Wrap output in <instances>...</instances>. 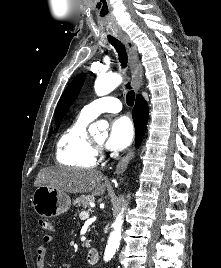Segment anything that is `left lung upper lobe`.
I'll list each match as a JSON object with an SVG mask.
<instances>
[{
  "mask_svg": "<svg viewBox=\"0 0 221 268\" xmlns=\"http://www.w3.org/2000/svg\"><path fill=\"white\" fill-rule=\"evenodd\" d=\"M84 80H85V74L84 73L79 74L78 76L75 77V79L63 92L55 111L57 128L59 127L63 116L66 114L69 107L73 104V102L77 98L78 93L84 83Z\"/></svg>",
  "mask_w": 221,
  "mask_h": 268,
  "instance_id": "1",
  "label": "left lung upper lobe"
}]
</instances>
